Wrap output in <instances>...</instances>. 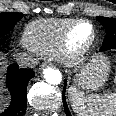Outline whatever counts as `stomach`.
<instances>
[{
	"mask_svg": "<svg viewBox=\"0 0 116 116\" xmlns=\"http://www.w3.org/2000/svg\"><path fill=\"white\" fill-rule=\"evenodd\" d=\"M110 65L104 55H95L86 63L76 75L75 83L85 90H97L108 79Z\"/></svg>",
	"mask_w": 116,
	"mask_h": 116,
	"instance_id": "stomach-1",
	"label": "stomach"
}]
</instances>
